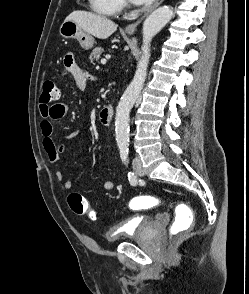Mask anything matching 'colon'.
<instances>
[{
	"instance_id": "obj_1",
	"label": "colon",
	"mask_w": 249,
	"mask_h": 294,
	"mask_svg": "<svg viewBox=\"0 0 249 294\" xmlns=\"http://www.w3.org/2000/svg\"><path fill=\"white\" fill-rule=\"evenodd\" d=\"M60 91L56 83L51 79H45L42 83V93L40 100L42 103H51L59 98ZM66 135V134H65ZM64 135V136H65ZM68 203L72 211L80 216L90 219L96 217V213L91 209L87 199L78 193H72L68 197ZM161 204V200L151 196L136 197L129 201L128 208L132 211L154 208ZM193 223V216L189 213L186 216H178L169 226V235L172 238L187 230Z\"/></svg>"
}]
</instances>
